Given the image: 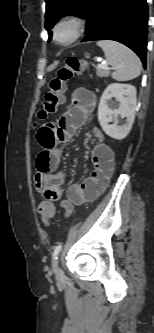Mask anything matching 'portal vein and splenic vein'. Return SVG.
<instances>
[{
  "instance_id": "18ae733b",
  "label": "portal vein and splenic vein",
  "mask_w": 154,
  "mask_h": 333,
  "mask_svg": "<svg viewBox=\"0 0 154 333\" xmlns=\"http://www.w3.org/2000/svg\"><path fill=\"white\" fill-rule=\"evenodd\" d=\"M98 67H99V68L106 69V70H108V69H113V68H109L107 64H98Z\"/></svg>"
}]
</instances>
